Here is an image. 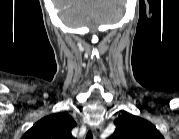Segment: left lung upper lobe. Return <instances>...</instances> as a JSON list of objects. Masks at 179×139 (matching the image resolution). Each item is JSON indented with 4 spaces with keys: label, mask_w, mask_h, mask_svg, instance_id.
Returning <instances> with one entry per match:
<instances>
[{
    "label": "left lung upper lobe",
    "mask_w": 179,
    "mask_h": 139,
    "mask_svg": "<svg viewBox=\"0 0 179 139\" xmlns=\"http://www.w3.org/2000/svg\"><path fill=\"white\" fill-rule=\"evenodd\" d=\"M116 129L111 139H161L159 131L149 121L123 114L115 120Z\"/></svg>",
    "instance_id": "5c2ea615"
}]
</instances>
